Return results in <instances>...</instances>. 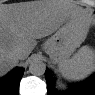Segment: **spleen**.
<instances>
[{
  "mask_svg": "<svg viewBox=\"0 0 95 95\" xmlns=\"http://www.w3.org/2000/svg\"><path fill=\"white\" fill-rule=\"evenodd\" d=\"M95 67V55L91 48L82 46L71 58L58 63L59 71L67 78L80 80Z\"/></svg>",
  "mask_w": 95,
  "mask_h": 95,
  "instance_id": "spleen-1",
  "label": "spleen"
}]
</instances>
